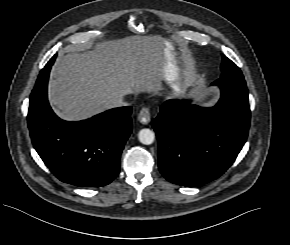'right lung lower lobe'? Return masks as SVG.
Segmentation results:
<instances>
[{
	"label": "right lung lower lobe",
	"mask_w": 290,
	"mask_h": 245,
	"mask_svg": "<svg viewBox=\"0 0 290 245\" xmlns=\"http://www.w3.org/2000/svg\"><path fill=\"white\" fill-rule=\"evenodd\" d=\"M55 58L40 71L30 96L27 121L34 148L62 182L82 187L107 185L119 173L120 155L132 132V108L110 109L77 122L60 119L47 98Z\"/></svg>",
	"instance_id": "1"
}]
</instances>
